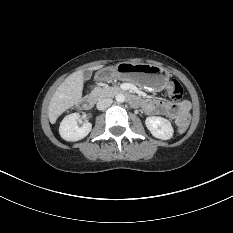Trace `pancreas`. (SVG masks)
Masks as SVG:
<instances>
[{
  "label": "pancreas",
  "instance_id": "1",
  "mask_svg": "<svg viewBox=\"0 0 233 233\" xmlns=\"http://www.w3.org/2000/svg\"><path fill=\"white\" fill-rule=\"evenodd\" d=\"M119 91L120 89L118 87H96L92 90L91 95L96 98L111 97Z\"/></svg>",
  "mask_w": 233,
  "mask_h": 233
}]
</instances>
